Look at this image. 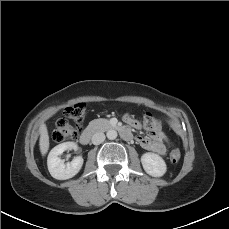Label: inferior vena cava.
<instances>
[{
    "instance_id": "inferior-vena-cava-1",
    "label": "inferior vena cava",
    "mask_w": 229,
    "mask_h": 229,
    "mask_svg": "<svg viewBox=\"0 0 229 229\" xmlns=\"http://www.w3.org/2000/svg\"><path fill=\"white\" fill-rule=\"evenodd\" d=\"M105 140V134L102 132H97L92 136V143L94 145H99Z\"/></svg>"
}]
</instances>
